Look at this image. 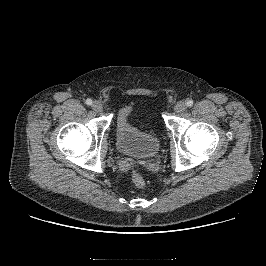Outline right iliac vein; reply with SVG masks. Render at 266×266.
I'll list each match as a JSON object with an SVG mask.
<instances>
[{"label": "right iliac vein", "instance_id": "right-iliac-vein-1", "mask_svg": "<svg viewBox=\"0 0 266 266\" xmlns=\"http://www.w3.org/2000/svg\"><path fill=\"white\" fill-rule=\"evenodd\" d=\"M92 108H93V110L96 111V112H100V111H102V109H103L102 104H101L99 101H95V102H93V104H92Z\"/></svg>", "mask_w": 266, "mask_h": 266}]
</instances>
